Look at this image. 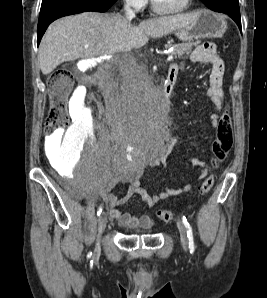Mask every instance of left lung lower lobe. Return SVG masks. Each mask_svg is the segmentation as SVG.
Instances as JSON below:
<instances>
[{
	"instance_id": "1",
	"label": "left lung lower lobe",
	"mask_w": 267,
	"mask_h": 298,
	"mask_svg": "<svg viewBox=\"0 0 267 298\" xmlns=\"http://www.w3.org/2000/svg\"><path fill=\"white\" fill-rule=\"evenodd\" d=\"M216 11L228 14L241 29V18H240L239 5L231 4L229 6H219Z\"/></svg>"
}]
</instances>
